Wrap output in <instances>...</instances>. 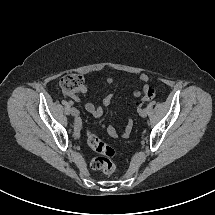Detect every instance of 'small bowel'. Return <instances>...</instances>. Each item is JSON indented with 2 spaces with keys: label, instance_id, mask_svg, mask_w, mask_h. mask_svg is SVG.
Instances as JSON below:
<instances>
[{
  "label": "small bowel",
  "instance_id": "1",
  "mask_svg": "<svg viewBox=\"0 0 215 215\" xmlns=\"http://www.w3.org/2000/svg\"><path fill=\"white\" fill-rule=\"evenodd\" d=\"M140 80H141L142 82L147 83L148 80H149V78H148L147 75L142 74V75L140 76ZM106 81H107L108 83H112V82L114 81V79H113L112 77H108V78L106 79ZM86 90H87L86 86H83L82 92H86ZM134 96H135V97H139V96H140V92H138V91L135 92V93H134ZM112 98H113V95H112V94H108V95H106V96L103 98V100H102V102H101L100 105H96V104H94V103L89 102V103H86V104H85V109H86V111H87L88 113H90L93 117H95V118H100V117L102 116V114H103V108L106 107V106H108V105L111 103ZM75 100H76L77 102H79V99L76 98ZM76 127L79 128V127H80V124L77 123ZM132 129H133V122H132V120H128V122H127V124L125 125L124 130H123V132H122V136H123L124 138L129 137L130 134H131V132H132ZM107 132H108V134H109L111 137H113V138H117V137H118V133H117L116 129H115L114 127H112V126H108V127H107Z\"/></svg>",
  "mask_w": 215,
  "mask_h": 215
}]
</instances>
